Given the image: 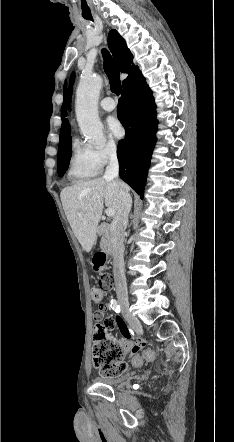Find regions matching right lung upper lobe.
I'll use <instances>...</instances> for the list:
<instances>
[{
	"label": "right lung upper lobe",
	"instance_id": "cb5924a9",
	"mask_svg": "<svg viewBox=\"0 0 234 442\" xmlns=\"http://www.w3.org/2000/svg\"><path fill=\"white\" fill-rule=\"evenodd\" d=\"M108 46L111 50V53L122 73H127L128 77L123 81L124 84L128 79L133 77L134 75L140 73L138 66H134L132 63L133 55L130 50L127 48V45L124 39L119 35L116 30H111L108 35ZM67 89L66 84L64 85V104L61 108V115H67ZM69 139H71L70 132V124L65 117H62V125L60 131V142L59 146L64 145Z\"/></svg>",
	"mask_w": 234,
	"mask_h": 442
}]
</instances>
